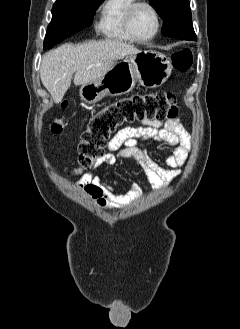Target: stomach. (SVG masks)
Wrapping results in <instances>:
<instances>
[{
	"label": "stomach",
	"mask_w": 240,
	"mask_h": 329,
	"mask_svg": "<svg viewBox=\"0 0 240 329\" xmlns=\"http://www.w3.org/2000/svg\"><path fill=\"white\" fill-rule=\"evenodd\" d=\"M172 65L167 57L158 51L146 50L119 61L99 79L83 84L81 100L94 104L103 97L119 96L133 90L136 82L146 88H157L171 75Z\"/></svg>",
	"instance_id": "1"
}]
</instances>
